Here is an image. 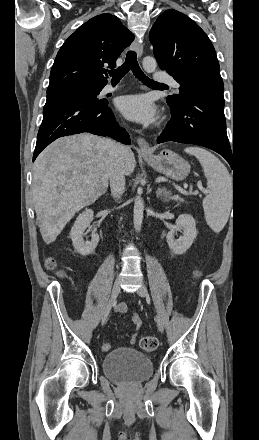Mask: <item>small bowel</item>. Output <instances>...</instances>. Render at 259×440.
<instances>
[{
  "mask_svg": "<svg viewBox=\"0 0 259 440\" xmlns=\"http://www.w3.org/2000/svg\"><path fill=\"white\" fill-rule=\"evenodd\" d=\"M126 311H127L126 305H124V304L119 305V307L117 309V312L119 314H125ZM131 321L134 324V326L136 327V329H139L141 327V325H142V319H141V317L137 313H135L132 316ZM134 338H135V336H133V338H132V343L134 342ZM102 349L104 351H108L110 349V344L107 343V342L103 343Z\"/></svg>",
  "mask_w": 259,
  "mask_h": 440,
  "instance_id": "1",
  "label": "small bowel"
}]
</instances>
